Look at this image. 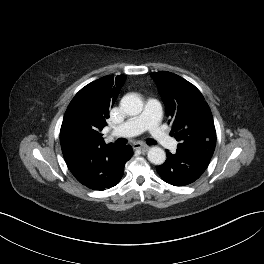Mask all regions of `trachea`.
Segmentation results:
<instances>
[{
    "label": "trachea",
    "instance_id": "obj_1",
    "mask_svg": "<svg viewBox=\"0 0 264 264\" xmlns=\"http://www.w3.org/2000/svg\"><path fill=\"white\" fill-rule=\"evenodd\" d=\"M118 144H125L126 143V140L123 139V138H120L116 141ZM147 144L149 145H154V144H157V142L154 140V139H148L147 140Z\"/></svg>",
    "mask_w": 264,
    "mask_h": 264
}]
</instances>
